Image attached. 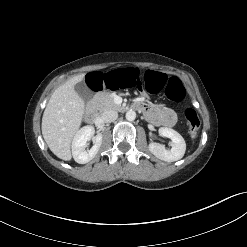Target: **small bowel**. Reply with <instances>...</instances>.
Here are the masks:
<instances>
[{
	"instance_id": "1",
	"label": "small bowel",
	"mask_w": 247,
	"mask_h": 247,
	"mask_svg": "<svg viewBox=\"0 0 247 247\" xmlns=\"http://www.w3.org/2000/svg\"><path fill=\"white\" fill-rule=\"evenodd\" d=\"M148 119L158 126L171 127L176 123V113L164 104L152 105L146 102L138 103Z\"/></svg>"
}]
</instances>
